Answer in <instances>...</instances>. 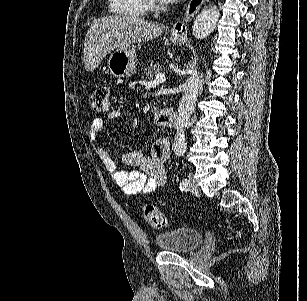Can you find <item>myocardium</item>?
Wrapping results in <instances>:
<instances>
[{
  "mask_svg": "<svg viewBox=\"0 0 307 301\" xmlns=\"http://www.w3.org/2000/svg\"><path fill=\"white\" fill-rule=\"evenodd\" d=\"M150 2L149 6L144 7L146 11L144 17H154V12H167L160 0H150Z\"/></svg>",
  "mask_w": 307,
  "mask_h": 301,
  "instance_id": "myocardium-1",
  "label": "myocardium"
}]
</instances>
